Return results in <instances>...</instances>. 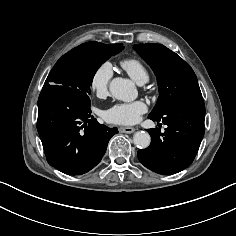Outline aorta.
<instances>
[{
	"label": "aorta",
	"mask_w": 236,
	"mask_h": 236,
	"mask_svg": "<svg viewBox=\"0 0 236 236\" xmlns=\"http://www.w3.org/2000/svg\"><path fill=\"white\" fill-rule=\"evenodd\" d=\"M112 96L118 100L130 102L136 99L138 92L134 83L126 78L116 77L109 85ZM134 143L138 148L145 149L151 143L150 135L145 131L134 134Z\"/></svg>",
	"instance_id": "762f6f07"
}]
</instances>
